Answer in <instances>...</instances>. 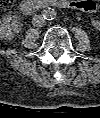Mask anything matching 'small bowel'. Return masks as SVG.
Returning <instances> with one entry per match:
<instances>
[{
  "instance_id": "1",
  "label": "small bowel",
  "mask_w": 100,
  "mask_h": 118,
  "mask_svg": "<svg viewBox=\"0 0 100 118\" xmlns=\"http://www.w3.org/2000/svg\"><path fill=\"white\" fill-rule=\"evenodd\" d=\"M87 2H88V0H78V1H74L73 4L82 10L89 11V10L85 9L84 6H81L82 4H85ZM89 12H94V11H89Z\"/></svg>"
}]
</instances>
